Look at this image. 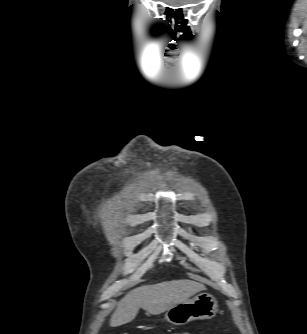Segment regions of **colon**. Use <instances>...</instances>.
<instances>
[{"label": "colon", "instance_id": "5ec220e1", "mask_svg": "<svg viewBox=\"0 0 307 334\" xmlns=\"http://www.w3.org/2000/svg\"><path fill=\"white\" fill-rule=\"evenodd\" d=\"M124 334H128V333H124ZM174 334H178V333H174Z\"/></svg>", "mask_w": 307, "mask_h": 334}]
</instances>
